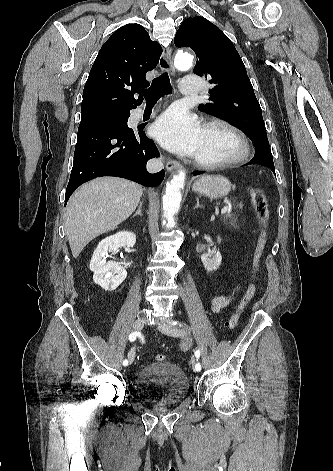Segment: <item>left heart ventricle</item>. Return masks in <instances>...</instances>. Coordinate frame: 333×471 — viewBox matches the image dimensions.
Returning <instances> with one entry per match:
<instances>
[{"mask_svg": "<svg viewBox=\"0 0 333 471\" xmlns=\"http://www.w3.org/2000/svg\"><path fill=\"white\" fill-rule=\"evenodd\" d=\"M236 149L233 138L219 128L203 129L196 157L204 160H220L231 156Z\"/></svg>", "mask_w": 333, "mask_h": 471, "instance_id": "1", "label": "left heart ventricle"}]
</instances>
